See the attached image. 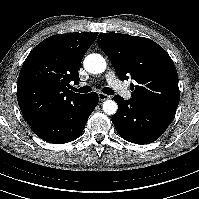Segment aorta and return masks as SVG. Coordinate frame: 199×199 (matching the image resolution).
I'll return each mask as SVG.
<instances>
[{
  "label": "aorta",
  "instance_id": "762f6f07",
  "mask_svg": "<svg viewBox=\"0 0 199 199\" xmlns=\"http://www.w3.org/2000/svg\"><path fill=\"white\" fill-rule=\"evenodd\" d=\"M86 71L92 74L103 73L106 69L105 59L96 53L89 54L85 57L83 62ZM103 111L106 114L113 115L117 111V104L113 100H107L103 103Z\"/></svg>",
  "mask_w": 199,
  "mask_h": 199
}]
</instances>
